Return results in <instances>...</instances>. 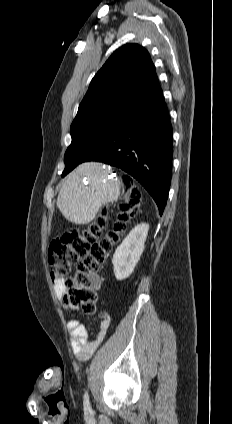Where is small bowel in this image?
<instances>
[{"instance_id":"small-bowel-1","label":"small bowel","mask_w":232,"mask_h":424,"mask_svg":"<svg viewBox=\"0 0 232 424\" xmlns=\"http://www.w3.org/2000/svg\"><path fill=\"white\" fill-rule=\"evenodd\" d=\"M99 286L100 283L97 280L96 288H99ZM55 289L61 295L66 293L63 286L58 282L55 283ZM109 325L110 316L104 312L99 324V330L95 337L90 340L86 327L80 321L76 319L68 321L67 329L71 337V348L79 360H86L92 355L94 350L103 342Z\"/></svg>"}]
</instances>
